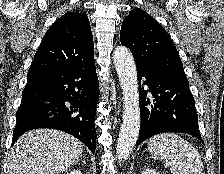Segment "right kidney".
Instances as JSON below:
<instances>
[{"label": "right kidney", "mask_w": 224, "mask_h": 174, "mask_svg": "<svg viewBox=\"0 0 224 174\" xmlns=\"http://www.w3.org/2000/svg\"><path fill=\"white\" fill-rule=\"evenodd\" d=\"M69 174H82V172L80 170H73V171H70Z\"/></svg>", "instance_id": "obj_1"}]
</instances>
